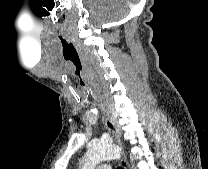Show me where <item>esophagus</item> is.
I'll list each match as a JSON object with an SVG mask.
<instances>
[{"label": "esophagus", "instance_id": "obj_1", "mask_svg": "<svg viewBox=\"0 0 208 169\" xmlns=\"http://www.w3.org/2000/svg\"><path fill=\"white\" fill-rule=\"evenodd\" d=\"M100 109L103 113V123H104V125L112 133L116 142L120 145L121 144L120 136H119L118 130L116 128L115 122L110 117V113H109L108 109L104 105H100ZM120 164L123 167V169H127V162L124 158L120 159Z\"/></svg>", "mask_w": 208, "mask_h": 169}]
</instances>
